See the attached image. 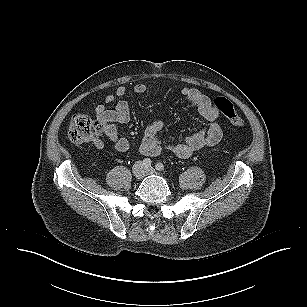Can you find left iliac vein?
<instances>
[{
	"label": "left iliac vein",
	"mask_w": 307,
	"mask_h": 307,
	"mask_svg": "<svg viewBox=\"0 0 307 307\" xmlns=\"http://www.w3.org/2000/svg\"><path fill=\"white\" fill-rule=\"evenodd\" d=\"M145 173L148 174V175H151V174H158L157 171L153 168V167H149L145 170Z\"/></svg>",
	"instance_id": "obj_1"
}]
</instances>
